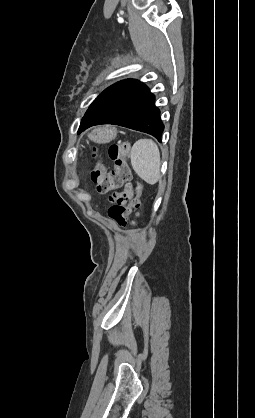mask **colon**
Segmentation results:
<instances>
[{
    "instance_id": "1",
    "label": "colon",
    "mask_w": 255,
    "mask_h": 418,
    "mask_svg": "<svg viewBox=\"0 0 255 418\" xmlns=\"http://www.w3.org/2000/svg\"><path fill=\"white\" fill-rule=\"evenodd\" d=\"M130 146L128 143H118L110 146L108 155L113 162V170L104 172L101 168H97L92 172V180L97 184L101 193L121 187L127 182L131 176V167L129 164ZM142 194V186L136 184L135 195L128 198L125 195L114 196L115 204L109 209V216L120 226L126 224L127 216L133 209L140 207V197Z\"/></svg>"
}]
</instances>
